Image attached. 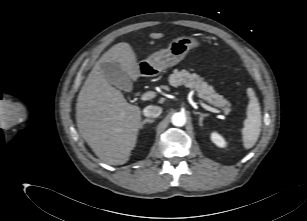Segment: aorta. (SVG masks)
Returning a JSON list of instances; mask_svg holds the SVG:
<instances>
[{"mask_svg": "<svg viewBox=\"0 0 307 221\" xmlns=\"http://www.w3.org/2000/svg\"><path fill=\"white\" fill-rule=\"evenodd\" d=\"M171 122L174 126L182 127L186 123V116L181 112L174 113Z\"/></svg>", "mask_w": 307, "mask_h": 221, "instance_id": "1", "label": "aorta"}]
</instances>
